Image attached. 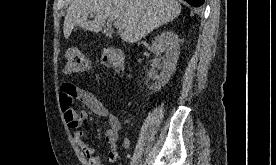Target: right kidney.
<instances>
[{
  "label": "right kidney",
  "instance_id": "obj_1",
  "mask_svg": "<svg viewBox=\"0 0 276 165\" xmlns=\"http://www.w3.org/2000/svg\"><path fill=\"white\" fill-rule=\"evenodd\" d=\"M179 48V36L173 31H164L155 37L152 42L151 51L156 56L164 53V57H162V72L150 89L158 91L169 82L176 70Z\"/></svg>",
  "mask_w": 276,
  "mask_h": 165
}]
</instances>
